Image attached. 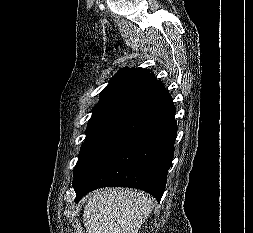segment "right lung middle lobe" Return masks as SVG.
I'll use <instances>...</instances> for the list:
<instances>
[{
  "instance_id": "obj_1",
  "label": "right lung middle lobe",
  "mask_w": 253,
  "mask_h": 233,
  "mask_svg": "<svg viewBox=\"0 0 253 233\" xmlns=\"http://www.w3.org/2000/svg\"><path fill=\"white\" fill-rule=\"evenodd\" d=\"M135 104L130 101H115L99 103L93 108L74 172Z\"/></svg>"
}]
</instances>
